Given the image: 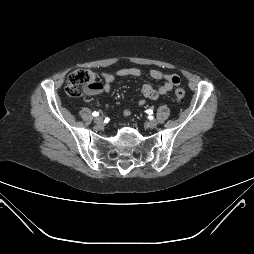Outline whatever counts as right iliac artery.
I'll use <instances>...</instances> for the list:
<instances>
[{"label":"right iliac artery","instance_id":"right-iliac-artery-1","mask_svg":"<svg viewBox=\"0 0 254 254\" xmlns=\"http://www.w3.org/2000/svg\"><path fill=\"white\" fill-rule=\"evenodd\" d=\"M98 115H99V112H96V111H95V112H93V116H95V117H96V116H98Z\"/></svg>","mask_w":254,"mask_h":254}]
</instances>
